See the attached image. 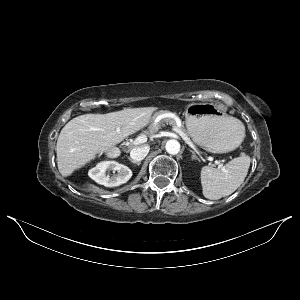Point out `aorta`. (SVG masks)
I'll list each match as a JSON object with an SVG mask.
<instances>
[{
	"instance_id": "762f6f07",
	"label": "aorta",
	"mask_w": 300,
	"mask_h": 300,
	"mask_svg": "<svg viewBox=\"0 0 300 300\" xmlns=\"http://www.w3.org/2000/svg\"><path fill=\"white\" fill-rule=\"evenodd\" d=\"M165 148L169 154L176 155L180 152L181 145L177 140L171 139L166 142Z\"/></svg>"
}]
</instances>
